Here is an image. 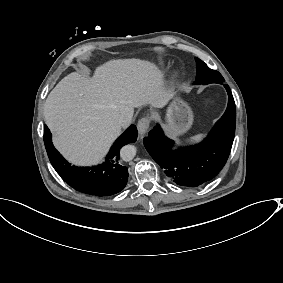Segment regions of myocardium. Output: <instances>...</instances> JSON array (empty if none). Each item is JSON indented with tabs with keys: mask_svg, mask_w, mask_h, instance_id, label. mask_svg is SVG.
Listing matches in <instances>:
<instances>
[{
	"mask_svg": "<svg viewBox=\"0 0 283 283\" xmlns=\"http://www.w3.org/2000/svg\"><path fill=\"white\" fill-rule=\"evenodd\" d=\"M179 78V73L177 70L172 71L168 77V84L174 85Z\"/></svg>",
	"mask_w": 283,
	"mask_h": 283,
	"instance_id": "1",
	"label": "myocardium"
}]
</instances>
